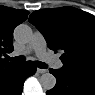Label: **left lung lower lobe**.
Listing matches in <instances>:
<instances>
[{
  "label": "left lung lower lobe",
  "mask_w": 95,
  "mask_h": 95,
  "mask_svg": "<svg viewBox=\"0 0 95 95\" xmlns=\"http://www.w3.org/2000/svg\"><path fill=\"white\" fill-rule=\"evenodd\" d=\"M56 77V85L47 95H95V76L66 69H49Z\"/></svg>",
  "instance_id": "1"
}]
</instances>
